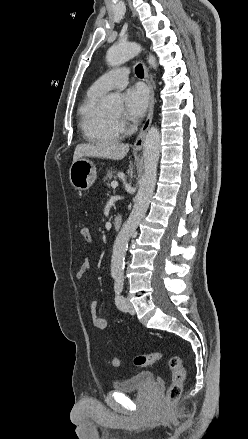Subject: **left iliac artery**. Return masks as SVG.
Listing matches in <instances>:
<instances>
[{
    "label": "left iliac artery",
    "mask_w": 248,
    "mask_h": 439,
    "mask_svg": "<svg viewBox=\"0 0 248 439\" xmlns=\"http://www.w3.org/2000/svg\"><path fill=\"white\" fill-rule=\"evenodd\" d=\"M115 304L117 306V308L121 311H126L127 310V305H126V301H125V297L122 295V291H123V287H124V277L123 275L119 274L116 275L115 277Z\"/></svg>",
    "instance_id": "obj_1"
}]
</instances>
